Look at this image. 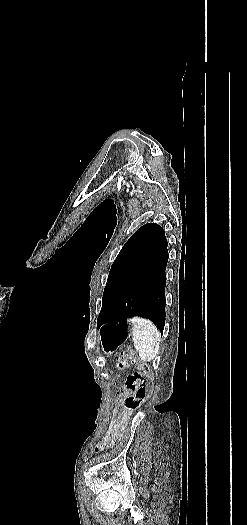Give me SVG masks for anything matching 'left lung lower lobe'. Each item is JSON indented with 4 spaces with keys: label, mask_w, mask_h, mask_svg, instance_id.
Listing matches in <instances>:
<instances>
[{
    "label": "left lung lower lobe",
    "mask_w": 247,
    "mask_h": 525,
    "mask_svg": "<svg viewBox=\"0 0 247 525\" xmlns=\"http://www.w3.org/2000/svg\"><path fill=\"white\" fill-rule=\"evenodd\" d=\"M167 261V240L164 238L147 268L109 309L102 324L141 316L153 321L162 334L165 325V269Z\"/></svg>",
    "instance_id": "obj_1"
}]
</instances>
